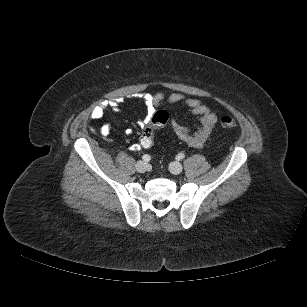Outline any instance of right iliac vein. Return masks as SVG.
Masks as SVG:
<instances>
[{"label": "right iliac vein", "mask_w": 307, "mask_h": 307, "mask_svg": "<svg viewBox=\"0 0 307 307\" xmlns=\"http://www.w3.org/2000/svg\"><path fill=\"white\" fill-rule=\"evenodd\" d=\"M136 170L140 173L146 172L149 170V165L144 161H139L136 164Z\"/></svg>", "instance_id": "obj_1"}]
</instances>
